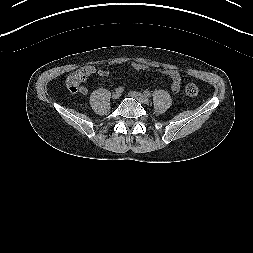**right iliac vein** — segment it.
<instances>
[{
	"label": "right iliac vein",
	"mask_w": 253,
	"mask_h": 253,
	"mask_svg": "<svg viewBox=\"0 0 253 253\" xmlns=\"http://www.w3.org/2000/svg\"><path fill=\"white\" fill-rule=\"evenodd\" d=\"M120 97V93H114L113 95H112V98L113 99H118Z\"/></svg>",
	"instance_id": "obj_1"
}]
</instances>
